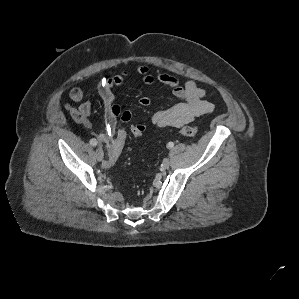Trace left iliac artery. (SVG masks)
<instances>
[{
	"label": "left iliac artery",
	"instance_id": "obj_1",
	"mask_svg": "<svg viewBox=\"0 0 299 299\" xmlns=\"http://www.w3.org/2000/svg\"><path fill=\"white\" fill-rule=\"evenodd\" d=\"M173 146H174V143H173V142H169V143L167 144V147H168L169 149L173 148Z\"/></svg>",
	"mask_w": 299,
	"mask_h": 299
}]
</instances>
